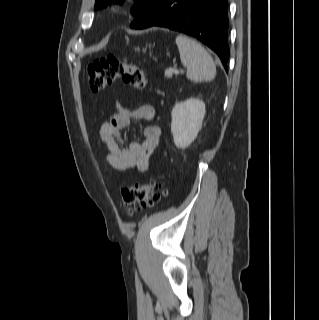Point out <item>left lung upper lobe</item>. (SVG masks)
<instances>
[{
    "mask_svg": "<svg viewBox=\"0 0 319 320\" xmlns=\"http://www.w3.org/2000/svg\"><path fill=\"white\" fill-rule=\"evenodd\" d=\"M122 3L124 0H96L95 9L106 7L109 2ZM159 0H137L132 8V14L137 18L143 16L150 11Z\"/></svg>",
    "mask_w": 319,
    "mask_h": 320,
    "instance_id": "1",
    "label": "left lung upper lobe"
}]
</instances>
